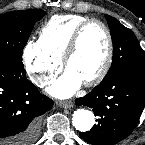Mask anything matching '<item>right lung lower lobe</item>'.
<instances>
[{
  "instance_id": "1",
  "label": "right lung lower lobe",
  "mask_w": 145,
  "mask_h": 145,
  "mask_svg": "<svg viewBox=\"0 0 145 145\" xmlns=\"http://www.w3.org/2000/svg\"><path fill=\"white\" fill-rule=\"evenodd\" d=\"M52 105L27 80L22 60L0 61V145H32L38 137L39 116Z\"/></svg>"
}]
</instances>
